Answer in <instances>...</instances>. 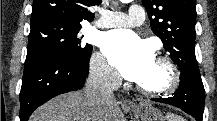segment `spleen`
Wrapping results in <instances>:
<instances>
[{
  "mask_svg": "<svg viewBox=\"0 0 217 121\" xmlns=\"http://www.w3.org/2000/svg\"><path fill=\"white\" fill-rule=\"evenodd\" d=\"M166 119L167 121H184V119L181 118L180 116L173 115V114H168Z\"/></svg>",
  "mask_w": 217,
  "mask_h": 121,
  "instance_id": "1",
  "label": "spleen"
}]
</instances>
